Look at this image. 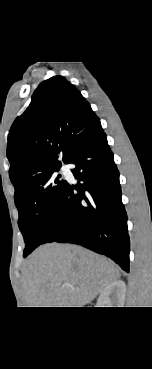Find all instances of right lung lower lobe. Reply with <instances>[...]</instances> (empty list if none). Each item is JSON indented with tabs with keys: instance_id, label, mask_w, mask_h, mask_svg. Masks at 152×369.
<instances>
[{
	"instance_id": "98d812e1",
	"label": "right lung lower lobe",
	"mask_w": 152,
	"mask_h": 369,
	"mask_svg": "<svg viewBox=\"0 0 152 369\" xmlns=\"http://www.w3.org/2000/svg\"><path fill=\"white\" fill-rule=\"evenodd\" d=\"M68 163L79 186L67 183L44 243L82 245L129 271L127 213L121 201L119 172L101 129L83 143ZM78 191V193L75 192Z\"/></svg>"
}]
</instances>
